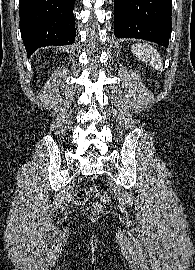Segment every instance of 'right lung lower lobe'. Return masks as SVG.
Returning <instances> with one entry per match:
<instances>
[{
  "instance_id": "right-lung-lower-lobe-1",
  "label": "right lung lower lobe",
  "mask_w": 195,
  "mask_h": 270,
  "mask_svg": "<svg viewBox=\"0 0 195 270\" xmlns=\"http://www.w3.org/2000/svg\"><path fill=\"white\" fill-rule=\"evenodd\" d=\"M75 0H19L21 36L28 57L38 48L75 40Z\"/></svg>"
}]
</instances>
